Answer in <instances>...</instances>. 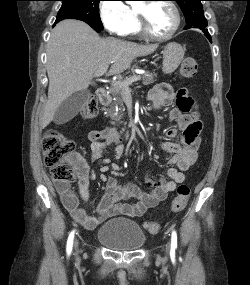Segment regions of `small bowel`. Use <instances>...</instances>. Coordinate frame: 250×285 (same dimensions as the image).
<instances>
[{
  "label": "small bowel",
  "instance_id": "small-bowel-1",
  "mask_svg": "<svg viewBox=\"0 0 250 285\" xmlns=\"http://www.w3.org/2000/svg\"><path fill=\"white\" fill-rule=\"evenodd\" d=\"M187 98L184 90L175 92L166 83L155 85L148 93V99L155 109L170 106L176 102V107L170 111L169 118L177 122V127L169 128L166 134L169 138L180 136V142L167 141L161 145L163 151L172 155L168 161L169 180L148 177L146 180L148 191L141 190L132 182L121 185L115 177L106 175L110 160L105 157V148L109 144H115L112 157L116 160L124 154L123 137L118 130L107 127L91 130L88 133L91 159L101 165L100 179L105 182L106 189L97 208L98 216L88 215L80 206V200L87 202L89 199L91 173L85 159L78 153H74L73 167L78 179L79 194L77 195L66 182H57L56 189L64 207L75 221L91 230L110 217L118 215L141 217L149 208L163 201L178 184L185 181V172L197 158L199 133L202 128L201 123L186 110ZM128 198H133L135 202L125 203L124 201Z\"/></svg>",
  "mask_w": 250,
  "mask_h": 285
}]
</instances>
